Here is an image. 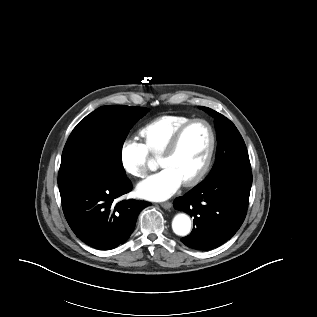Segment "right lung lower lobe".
Instances as JSON below:
<instances>
[{
  "label": "right lung lower lobe",
  "instance_id": "right-lung-lower-lobe-1",
  "mask_svg": "<svg viewBox=\"0 0 317 317\" xmlns=\"http://www.w3.org/2000/svg\"><path fill=\"white\" fill-rule=\"evenodd\" d=\"M132 188L125 172L100 165L78 173L60 187L62 208L76 236L87 245L109 250L131 235L138 214L149 202L133 199L115 204Z\"/></svg>",
  "mask_w": 317,
  "mask_h": 317
}]
</instances>
